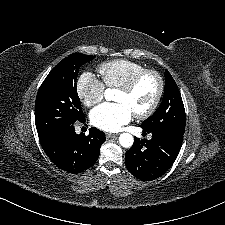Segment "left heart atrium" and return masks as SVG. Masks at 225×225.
<instances>
[{"label":"left heart atrium","mask_w":225,"mask_h":225,"mask_svg":"<svg viewBox=\"0 0 225 225\" xmlns=\"http://www.w3.org/2000/svg\"><path fill=\"white\" fill-rule=\"evenodd\" d=\"M132 111L123 103H103L90 113L92 124L104 131L115 132L130 122Z\"/></svg>","instance_id":"1"}]
</instances>
